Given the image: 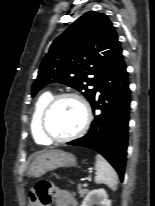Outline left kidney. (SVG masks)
Returning a JSON list of instances; mask_svg holds the SVG:
<instances>
[{"mask_svg": "<svg viewBox=\"0 0 155 206\" xmlns=\"http://www.w3.org/2000/svg\"><path fill=\"white\" fill-rule=\"evenodd\" d=\"M111 206V201L104 189H94L84 198L81 206Z\"/></svg>", "mask_w": 155, "mask_h": 206, "instance_id": "5707ae66", "label": "left kidney"}]
</instances>
